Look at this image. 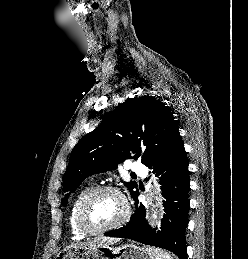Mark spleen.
I'll return each mask as SVG.
<instances>
[{
    "mask_svg": "<svg viewBox=\"0 0 248 259\" xmlns=\"http://www.w3.org/2000/svg\"><path fill=\"white\" fill-rule=\"evenodd\" d=\"M156 259H173V257L168 253L164 252L163 250L156 249Z\"/></svg>",
    "mask_w": 248,
    "mask_h": 259,
    "instance_id": "spleen-1",
    "label": "spleen"
}]
</instances>
